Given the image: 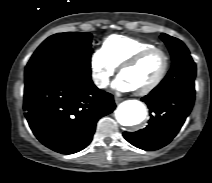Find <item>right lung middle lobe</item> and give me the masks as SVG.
<instances>
[{
  "label": "right lung middle lobe",
  "instance_id": "right-lung-middle-lobe-1",
  "mask_svg": "<svg viewBox=\"0 0 212 183\" xmlns=\"http://www.w3.org/2000/svg\"><path fill=\"white\" fill-rule=\"evenodd\" d=\"M91 39L92 35L87 32L54 34L37 48L26 67L75 65L90 68Z\"/></svg>",
  "mask_w": 212,
  "mask_h": 183
}]
</instances>
